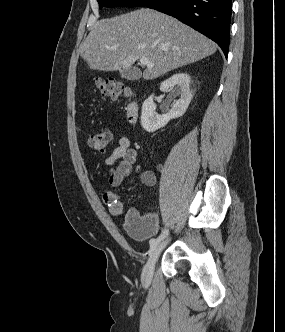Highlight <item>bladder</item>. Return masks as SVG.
Here are the masks:
<instances>
[{
    "mask_svg": "<svg viewBox=\"0 0 285 332\" xmlns=\"http://www.w3.org/2000/svg\"><path fill=\"white\" fill-rule=\"evenodd\" d=\"M128 234L138 241L151 238L157 231V219L154 214H136L125 222Z\"/></svg>",
    "mask_w": 285,
    "mask_h": 332,
    "instance_id": "bladder-1",
    "label": "bladder"
}]
</instances>
